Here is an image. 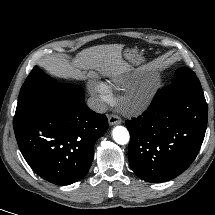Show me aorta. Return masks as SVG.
Here are the masks:
<instances>
[{"label":"aorta","instance_id":"762f6f07","mask_svg":"<svg viewBox=\"0 0 215 215\" xmlns=\"http://www.w3.org/2000/svg\"><path fill=\"white\" fill-rule=\"evenodd\" d=\"M113 139L116 143L120 145L127 144L129 142L130 136L128 130L123 126H116L113 131Z\"/></svg>","mask_w":215,"mask_h":215}]
</instances>
